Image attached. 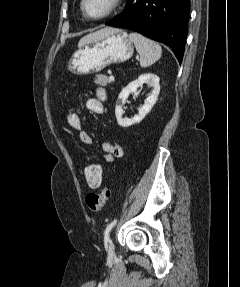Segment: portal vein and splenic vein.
<instances>
[{
    "instance_id": "obj_1",
    "label": "portal vein and splenic vein",
    "mask_w": 240,
    "mask_h": 287,
    "mask_svg": "<svg viewBox=\"0 0 240 287\" xmlns=\"http://www.w3.org/2000/svg\"><path fill=\"white\" fill-rule=\"evenodd\" d=\"M109 79H110V80H114V76L111 75Z\"/></svg>"
}]
</instances>
